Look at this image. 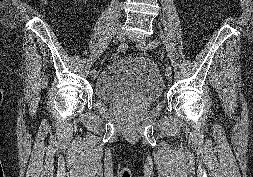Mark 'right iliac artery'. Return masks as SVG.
<instances>
[{
	"mask_svg": "<svg viewBox=\"0 0 253 177\" xmlns=\"http://www.w3.org/2000/svg\"><path fill=\"white\" fill-rule=\"evenodd\" d=\"M126 49V45L124 43L120 44L117 48L118 51H123ZM90 73H95L96 72V66L92 65L91 68L89 69Z\"/></svg>",
	"mask_w": 253,
	"mask_h": 177,
	"instance_id": "82829eb1",
	"label": "right iliac artery"
}]
</instances>
